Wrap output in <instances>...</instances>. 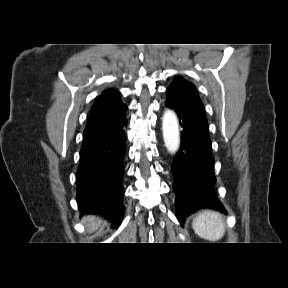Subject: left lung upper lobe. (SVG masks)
Returning a JSON list of instances; mask_svg holds the SVG:
<instances>
[{
    "instance_id": "obj_1",
    "label": "left lung upper lobe",
    "mask_w": 288,
    "mask_h": 288,
    "mask_svg": "<svg viewBox=\"0 0 288 288\" xmlns=\"http://www.w3.org/2000/svg\"><path fill=\"white\" fill-rule=\"evenodd\" d=\"M166 92L179 96L199 98L195 86L180 77L175 78V80L172 82Z\"/></svg>"
}]
</instances>
